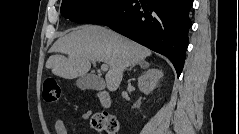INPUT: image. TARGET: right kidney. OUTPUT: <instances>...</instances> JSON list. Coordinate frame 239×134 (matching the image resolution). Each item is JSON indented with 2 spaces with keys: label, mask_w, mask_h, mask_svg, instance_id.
Masks as SVG:
<instances>
[{
  "label": "right kidney",
  "mask_w": 239,
  "mask_h": 134,
  "mask_svg": "<svg viewBox=\"0 0 239 134\" xmlns=\"http://www.w3.org/2000/svg\"><path fill=\"white\" fill-rule=\"evenodd\" d=\"M163 77L161 70L151 68L138 77V88L141 92L148 95L157 86L158 81Z\"/></svg>",
  "instance_id": "1"
}]
</instances>
